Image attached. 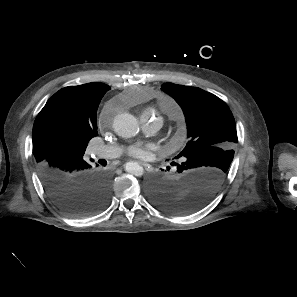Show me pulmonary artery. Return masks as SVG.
Instances as JSON below:
<instances>
[{
  "mask_svg": "<svg viewBox=\"0 0 297 297\" xmlns=\"http://www.w3.org/2000/svg\"><path fill=\"white\" fill-rule=\"evenodd\" d=\"M172 116L176 115L174 106L169 112ZM141 120L144 122L146 128L150 131L156 130L160 126L159 120L150 121L147 116H142ZM92 153L99 158L112 159L121 154V149L118 146L96 145L92 147Z\"/></svg>",
  "mask_w": 297,
  "mask_h": 297,
  "instance_id": "1",
  "label": "pulmonary artery"
}]
</instances>
